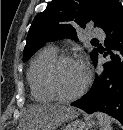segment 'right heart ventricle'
I'll return each instance as SVG.
<instances>
[{"mask_svg": "<svg viewBox=\"0 0 123 130\" xmlns=\"http://www.w3.org/2000/svg\"><path fill=\"white\" fill-rule=\"evenodd\" d=\"M57 56V50L52 46L42 48L30 63L27 80L34 101L48 103L55 100L46 83V73L50 63Z\"/></svg>", "mask_w": 123, "mask_h": 130, "instance_id": "obj_1", "label": "right heart ventricle"}]
</instances>
